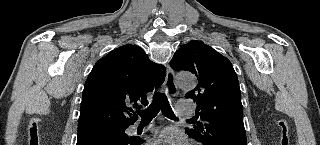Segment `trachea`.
<instances>
[{"label": "trachea", "instance_id": "3493384b", "mask_svg": "<svg viewBox=\"0 0 320 145\" xmlns=\"http://www.w3.org/2000/svg\"><path fill=\"white\" fill-rule=\"evenodd\" d=\"M160 110L165 117L175 119V114L166 95L164 93L156 92L151 105L145 110L138 111V114L141 117V121L148 122L156 117Z\"/></svg>", "mask_w": 320, "mask_h": 145}]
</instances>
